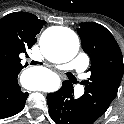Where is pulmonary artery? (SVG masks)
Wrapping results in <instances>:
<instances>
[{"mask_svg": "<svg viewBox=\"0 0 124 124\" xmlns=\"http://www.w3.org/2000/svg\"><path fill=\"white\" fill-rule=\"evenodd\" d=\"M89 64V58L85 53H80L72 62L59 66L60 70L63 71H74L78 74L83 73ZM82 85L78 84L76 87V94L78 96L83 94Z\"/></svg>", "mask_w": 124, "mask_h": 124, "instance_id": "obj_1", "label": "pulmonary artery"}]
</instances>
